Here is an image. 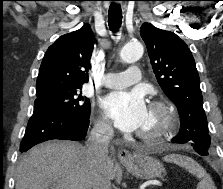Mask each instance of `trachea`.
Masks as SVG:
<instances>
[{
    "label": "trachea",
    "instance_id": "3493384b",
    "mask_svg": "<svg viewBox=\"0 0 223 189\" xmlns=\"http://www.w3.org/2000/svg\"><path fill=\"white\" fill-rule=\"evenodd\" d=\"M122 23V10L119 4L112 3L108 11V25L112 32L118 31Z\"/></svg>",
    "mask_w": 223,
    "mask_h": 189
}]
</instances>
